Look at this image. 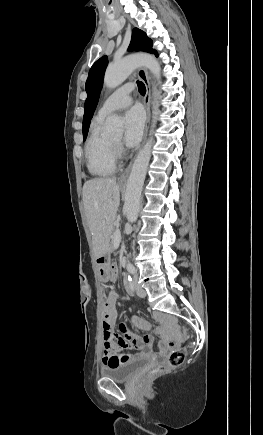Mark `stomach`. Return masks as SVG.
<instances>
[{"label": "stomach", "mask_w": 263, "mask_h": 435, "mask_svg": "<svg viewBox=\"0 0 263 435\" xmlns=\"http://www.w3.org/2000/svg\"><path fill=\"white\" fill-rule=\"evenodd\" d=\"M109 263L110 259L107 251L103 255L97 257L98 274L100 278H105L107 281L112 279V276L108 274Z\"/></svg>", "instance_id": "obj_1"}]
</instances>
